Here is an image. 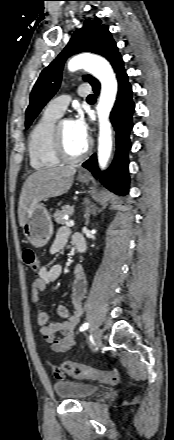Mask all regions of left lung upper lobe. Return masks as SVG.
Listing matches in <instances>:
<instances>
[{"label": "left lung upper lobe", "mask_w": 174, "mask_h": 440, "mask_svg": "<svg viewBox=\"0 0 174 440\" xmlns=\"http://www.w3.org/2000/svg\"><path fill=\"white\" fill-rule=\"evenodd\" d=\"M84 51L102 55L109 61L119 53L108 26L101 24L100 19H87L84 26L74 32L65 49L41 72L30 95V104L26 110V127L31 125L58 90L65 60L72 54ZM84 79L91 85L97 82L90 75L85 76Z\"/></svg>", "instance_id": "1"}]
</instances>
